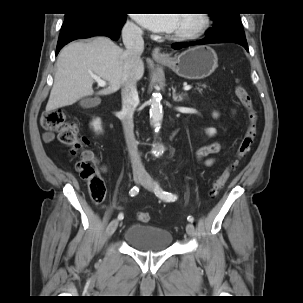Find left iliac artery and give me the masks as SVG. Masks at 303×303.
Wrapping results in <instances>:
<instances>
[{
	"label": "left iliac artery",
	"instance_id": "obj_1",
	"mask_svg": "<svg viewBox=\"0 0 303 303\" xmlns=\"http://www.w3.org/2000/svg\"><path fill=\"white\" fill-rule=\"evenodd\" d=\"M154 191H155V194L163 200L175 201L177 199L176 195L162 191V189L159 188L157 183H156ZM187 220L189 222H193L194 218L192 216H188Z\"/></svg>",
	"mask_w": 303,
	"mask_h": 303
}]
</instances>
